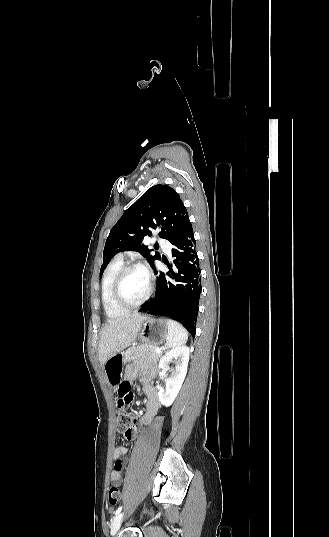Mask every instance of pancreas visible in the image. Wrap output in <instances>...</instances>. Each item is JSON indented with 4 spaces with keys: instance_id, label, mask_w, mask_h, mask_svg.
I'll return each mask as SVG.
<instances>
[{
    "instance_id": "pancreas-1",
    "label": "pancreas",
    "mask_w": 329,
    "mask_h": 537,
    "mask_svg": "<svg viewBox=\"0 0 329 537\" xmlns=\"http://www.w3.org/2000/svg\"><path fill=\"white\" fill-rule=\"evenodd\" d=\"M153 345H141L128 349L124 353V361L131 362L135 360L156 362L162 356V352L157 353Z\"/></svg>"
}]
</instances>
